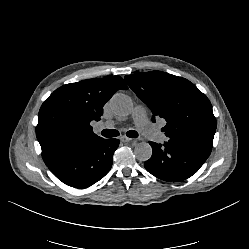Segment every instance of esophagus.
Returning <instances> with one entry per match:
<instances>
[{
  "instance_id": "1",
  "label": "esophagus",
  "mask_w": 249,
  "mask_h": 249,
  "mask_svg": "<svg viewBox=\"0 0 249 249\" xmlns=\"http://www.w3.org/2000/svg\"><path fill=\"white\" fill-rule=\"evenodd\" d=\"M120 140L123 142V143H133L135 140L131 139V138H127L125 136H122L120 138Z\"/></svg>"
}]
</instances>
